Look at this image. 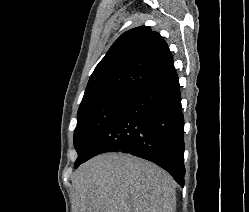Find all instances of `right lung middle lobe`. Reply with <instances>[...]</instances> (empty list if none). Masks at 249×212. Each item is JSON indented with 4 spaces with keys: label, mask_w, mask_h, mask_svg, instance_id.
I'll use <instances>...</instances> for the list:
<instances>
[{
    "label": "right lung middle lobe",
    "mask_w": 249,
    "mask_h": 212,
    "mask_svg": "<svg viewBox=\"0 0 249 212\" xmlns=\"http://www.w3.org/2000/svg\"><path fill=\"white\" fill-rule=\"evenodd\" d=\"M138 95L137 92L115 91L81 102L74 132V145L78 153L74 168L85 162L103 131Z\"/></svg>",
    "instance_id": "obj_1"
}]
</instances>
